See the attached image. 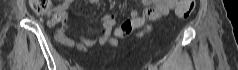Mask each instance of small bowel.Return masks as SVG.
<instances>
[{"label":"small bowel","mask_w":238,"mask_h":70,"mask_svg":"<svg viewBox=\"0 0 238 70\" xmlns=\"http://www.w3.org/2000/svg\"><path fill=\"white\" fill-rule=\"evenodd\" d=\"M180 0H146L144 3L150 6L146 12L141 15L138 11L133 10L130 14V20L124 22L117 30L116 36L119 38H124L128 36L133 30L142 27L147 21H155L161 17L166 16L171 10L176 9L177 3ZM72 0H64L56 8V14L61 20H66L68 8L72 4ZM91 4H95L97 0H89ZM53 23H51L52 25ZM115 25L114 16L111 14L104 15L102 18L101 28L98 30L97 37L95 39H89L82 35L79 36V40L75 41L68 37L63 29H59L55 38L58 42L67 45L69 47L76 48L80 51H86L88 47H93L95 45H105L110 44L113 47L118 45V40L111 36L112 30Z\"/></svg>","instance_id":"c3829d8e"}]
</instances>
